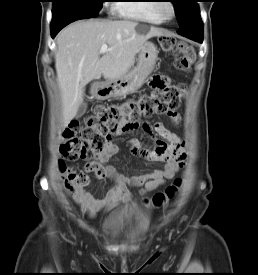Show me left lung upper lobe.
<instances>
[{
    "mask_svg": "<svg viewBox=\"0 0 258 275\" xmlns=\"http://www.w3.org/2000/svg\"><path fill=\"white\" fill-rule=\"evenodd\" d=\"M174 5L176 16L180 27L192 20L194 12L198 7L195 0H171Z\"/></svg>",
    "mask_w": 258,
    "mask_h": 275,
    "instance_id": "5c2ea615",
    "label": "left lung upper lobe"
}]
</instances>
